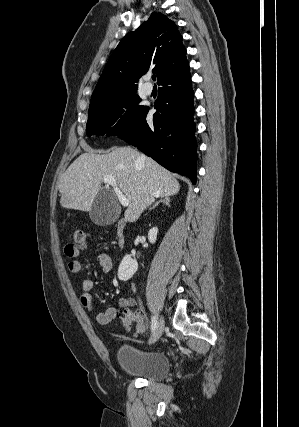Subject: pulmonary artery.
<instances>
[{
  "label": "pulmonary artery",
  "mask_w": 299,
  "mask_h": 427,
  "mask_svg": "<svg viewBox=\"0 0 299 427\" xmlns=\"http://www.w3.org/2000/svg\"><path fill=\"white\" fill-rule=\"evenodd\" d=\"M149 79H150V77H149V76H146V77H145L146 82H145V83H144V85H143V91H144V93H145L146 95H150V94L152 93V91H153V87H152V85L149 83Z\"/></svg>",
  "instance_id": "1"
}]
</instances>
